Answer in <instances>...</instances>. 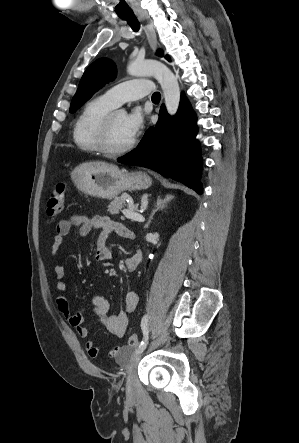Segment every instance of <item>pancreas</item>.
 I'll use <instances>...</instances> for the list:
<instances>
[{"label": "pancreas", "mask_w": 299, "mask_h": 443, "mask_svg": "<svg viewBox=\"0 0 299 443\" xmlns=\"http://www.w3.org/2000/svg\"><path fill=\"white\" fill-rule=\"evenodd\" d=\"M129 199L132 202V199L127 195H122L120 197H116L108 206L107 211L112 214H118L120 210L126 205V200ZM133 210L137 211L138 206H133Z\"/></svg>", "instance_id": "pancreas-1"}]
</instances>
